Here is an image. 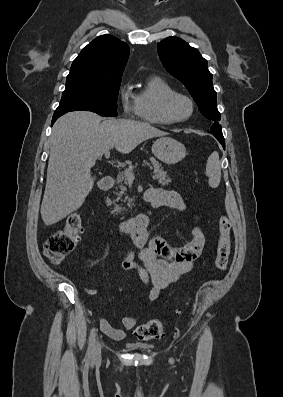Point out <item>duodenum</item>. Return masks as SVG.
I'll use <instances>...</instances> for the list:
<instances>
[{"mask_svg": "<svg viewBox=\"0 0 283 397\" xmlns=\"http://www.w3.org/2000/svg\"><path fill=\"white\" fill-rule=\"evenodd\" d=\"M113 185H114L113 177L106 176L100 181L99 188L103 192H108L113 187ZM143 198L146 202L154 206L150 201V199L148 198L147 193L144 194ZM109 218L113 220L111 214L109 215ZM148 223H149V215L146 213H141L129 219L116 222V225L120 232L126 234H133L144 230L147 227Z\"/></svg>", "mask_w": 283, "mask_h": 397, "instance_id": "1", "label": "duodenum"}]
</instances>
